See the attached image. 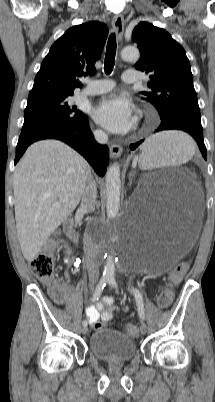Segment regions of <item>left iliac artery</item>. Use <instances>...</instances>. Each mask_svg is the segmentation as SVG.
<instances>
[{"label":"left iliac artery","mask_w":215,"mask_h":402,"mask_svg":"<svg viewBox=\"0 0 215 402\" xmlns=\"http://www.w3.org/2000/svg\"><path fill=\"white\" fill-rule=\"evenodd\" d=\"M108 283L110 286H112L113 288H117V283L114 277H110L108 278ZM131 293H133L135 300H136V304H137V309H138V313L139 316L142 320L145 319V313H144V303H143V297L141 292L136 289V288H132L131 289Z\"/></svg>","instance_id":"44dca946"}]
</instances>
